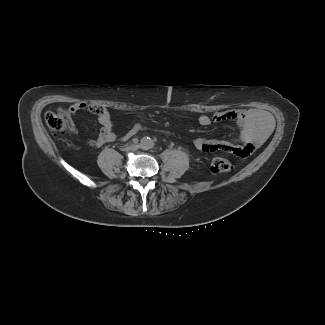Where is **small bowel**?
Returning a JSON list of instances; mask_svg holds the SVG:
<instances>
[{"label": "small bowel", "mask_w": 325, "mask_h": 325, "mask_svg": "<svg viewBox=\"0 0 325 325\" xmlns=\"http://www.w3.org/2000/svg\"><path fill=\"white\" fill-rule=\"evenodd\" d=\"M80 112L95 114L101 125L99 135L95 139H90L86 142L90 147H100L106 143L115 142L117 140L128 141L143 129L140 123H136L125 134L118 136L114 130V123L108 109L99 105L74 103L63 110V113L70 120ZM226 120L235 121L237 123L239 135L236 138L216 140L200 137L194 140L195 147L205 152L225 151L240 157H246L267 140L274 126L272 116L268 112L257 108L222 111L213 116L201 115L198 118V122L201 126H209L213 122ZM70 127L74 130L72 121Z\"/></svg>", "instance_id": "1"}]
</instances>
